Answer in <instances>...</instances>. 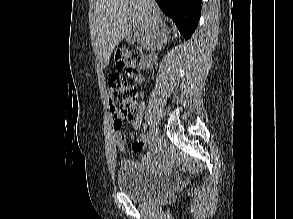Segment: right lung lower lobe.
<instances>
[{"mask_svg": "<svg viewBox=\"0 0 293 219\" xmlns=\"http://www.w3.org/2000/svg\"><path fill=\"white\" fill-rule=\"evenodd\" d=\"M161 10L175 22L187 40L196 29L201 15V0H155Z\"/></svg>", "mask_w": 293, "mask_h": 219, "instance_id": "right-lung-lower-lobe-1", "label": "right lung lower lobe"}]
</instances>
